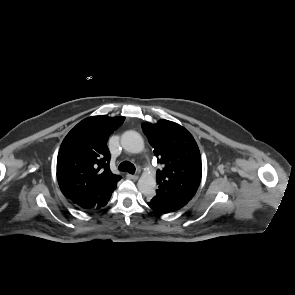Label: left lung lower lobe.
Segmentation results:
<instances>
[{"instance_id":"obj_1","label":"left lung lower lobe","mask_w":295,"mask_h":295,"mask_svg":"<svg viewBox=\"0 0 295 295\" xmlns=\"http://www.w3.org/2000/svg\"><path fill=\"white\" fill-rule=\"evenodd\" d=\"M188 202L187 199L156 190V194L149 197L148 205L159 214H167L181 209Z\"/></svg>"}]
</instances>
